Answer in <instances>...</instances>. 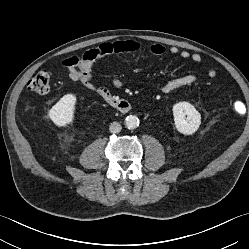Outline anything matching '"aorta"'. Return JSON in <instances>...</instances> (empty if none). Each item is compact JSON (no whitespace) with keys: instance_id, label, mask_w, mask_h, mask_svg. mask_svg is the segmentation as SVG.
<instances>
[{"instance_id":"obj_1","label":"aorta","mask_w":249,"mask_h":249,"mask_svg":"<svg viewBox=\"0 0 249 249\" xmlns=\"http://www.w3.org/2000/svg\"><path fill=\"white\" fill-rule=\"evenodd\" d=\"M124 123L128 129H135L139 126V119L137 116L129 115L126 117Z\"/></svg>"}]
</instances>
